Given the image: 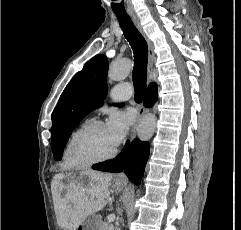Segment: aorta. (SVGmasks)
<instances>
[{
    "mask_svg": "<svg viewBox=\"0 0 241 230\" xmlns=\"http://www.w3.org/2000/svg\"><path fill=\"white\" fill-rule=\"evenodd\" d=\"M132 68L129 59L115 61L108 71V77L112 81H122L125 79ZM156 129V117L153 114H148L142 118L138 126V137L142 141H148L154 134Z\"/></svg>",
    "mask_w": 241,
    "mask_h": 230,
    "instance_id": "762f6f07",
    "label": "aorta"
}]
</instances>
